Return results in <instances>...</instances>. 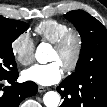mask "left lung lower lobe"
Here are the masks:
<instances>
[{
    "label": "left lung lower lobe",
    "mask_w": 107,
    "mask_h": 107,
    "mask_svg": "<svg viewBox=\"0 0 107 107\" xmlns=\"http://www.w3.org/2000/svg\"><path fill=\"white\" fill-rule=\"evenodd\" d=\"M85 90L83 107H107V78L98 76L84 81L80 85ZM57 91L64 98L60 107H68L67 96L73 95L76 88L63 81L57 87Z\"/></svg>",
    "instance_id": "left-lung-lower-lobe-1"
}]
</instances>
